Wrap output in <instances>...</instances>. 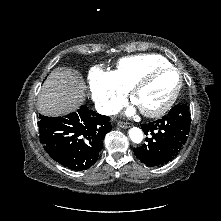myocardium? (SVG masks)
<instances>
[{"label": "myocardium", "mask_w": 221, "mask_h": 221, "mask_svg": "<svg viewBox=\"0 0 221 221\" xmlns=\"http://www.w3.org/2000/svg\"><path fill=\"white\" fill-rule=\"evenodd\" d=\"M167 71H173L177 74V76H178L177 86H176L174 92L172 93V95L170 96V98L159 108L154 109V110H145V109H142L139 107L141 113L146 117H150V118L159 117V116L165 114L174 105V103L176 102V100L180 94V91H181L182 85H183V77H182L181 71L172 65L155 67V68L149 70L147 73H145L131 89V100L133 103L136 104V98H137V95L140 93V91L143 88H145L148 84H150V82L158 74H160L162 72H167Z\"/></svg>", "instance_id": "f54148a6"}]
</instances>
